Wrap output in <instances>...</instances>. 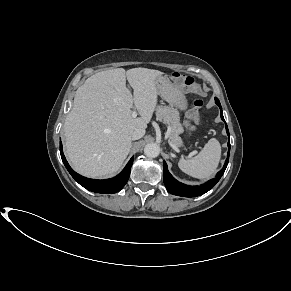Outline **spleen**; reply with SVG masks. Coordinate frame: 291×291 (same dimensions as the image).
Masks as SVG:
<instances>
[{
	"mask_svg": "<svg viewBox=\"0 0 291 291\" xmlns=\"http://www.w3.org/2000/svg\"><path fill=\"white\" fill-rule=\"evenodd\" d=\"M220 158V143L216 138H212L197 156L179 160L178 166L184 173L194 178L205 179L216 171Z\"/></svg>",
	"mask_w": 291,
	"mask_h": 291,
	"instance_id": "3e777b00",
	"label": "spleen"
}]
</instances>
